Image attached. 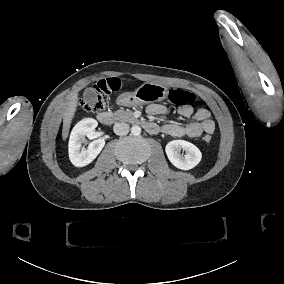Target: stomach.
Listing matches in <instances>:
<instances>
[{
    "instance_id": "1",
    "label": "stomach",
    "mask_w": 284,
    "mask_h": 284,
    "mask_svg": "<svg viewBox=\"0 0 284 284\" xmlns=\"http://www.w3.org/2000/svg\"><path fill=\"white\" fill-rule=\"evenodd\" d=\"M169 88L162 84L146 82L133 92H123L116 98L120 106L133 107L141 104L161 102L167 98Z\"/></svg>"
}]
</instances>
